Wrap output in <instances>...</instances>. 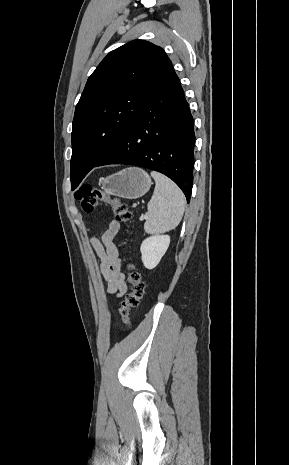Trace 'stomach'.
Here are the masks:
<instances>
[{
  "instance_id": "1",
  "label": "stomach",
  "mask_w": 289,
  "mask_h": 465,
  "mask_svg": "<svg viewBox=\"0 0 289 465\" xmlns=\"http://www.w3.org/2000/svg\"><path fill=\"white\" fill-rule=\"evenodd\" d=\"M152 181L140 168L129 167L101 181L102 189L109 195L136 199L148 192Z\"/></svg>"
}]
</instances>
